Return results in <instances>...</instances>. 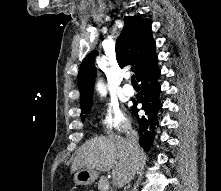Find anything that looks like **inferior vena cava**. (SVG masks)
Here are the masks:
<instances>
[{
	"mask_svg": "<svg viewBox=\"0 0 221 191\" xmlns=\"http://www.w3.org/2000/svg\"><path fill=\"white\" fill-rule=\"evenodd\" d=\"M126 140L129 146V150L133 159V168L136 169L139 158H140V150L138 145V134L134 130H130L126 134Z\"/></svg>",
	"mask_w": 221,
	"mask_h": 191,
	"instance_id": "obj_1",
	"label": "inferior vena cava"
}]
</instances>
